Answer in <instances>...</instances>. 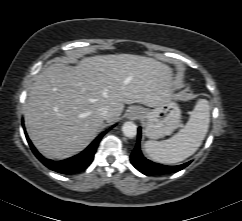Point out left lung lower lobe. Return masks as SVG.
I'll use <instances>...</instances> for the list:
<instances>
[{
	"instance_id": "1",
	"label": "left lung lower lobe",
	"mask_w": 242,
	"mask_h": 221,
	"mask_svg": "<svg viewBox=\"0 0 242 221\" xmlns=\"http://www.w3.org/2000/svg\"><path fill=\"white\" fill-rule=\"evenodd\" d=\"M140 139H141V130L139 128L137 143H136L135 149L133 150L130 156V161L137 170H139L141 173L147 176L177 172L185 168L190 163V162H187L185 164L178 165V166H166V165H161V164L151 162L148 159H146L140 151Z\"/></svg>"
}]
</instances>
